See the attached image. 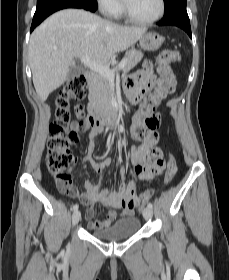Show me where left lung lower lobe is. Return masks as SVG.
I'll list each match as a JSON object with an SVG mask.
<instances>
[{
    "instance_id": "left-lung-lower-lobe-1",
    "label": "left lung lower lobe",
    "mask_w": 229,
    "mask_h": 280,
    "mask_svg": "<svg viewBox=\"0 0 229 280\" xmlns=\"http://www.w3.org/2000/svg\"><path fill=\"white\" fill-rule=\"evenodd\" d=\"M159 26L172 25L182 28L192 38L189 17L186 8H178L158 23Z\"/></svg>"
}]
</instances>
